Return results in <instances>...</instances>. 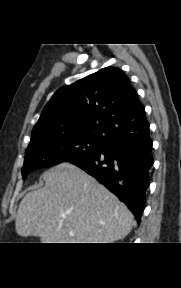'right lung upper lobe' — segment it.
Masks as SVG:
<instances>
[{"label":"right lung upper lobe","instance_id":"right-lung-upper-lobe-1","mask_svg":"<svg viewBox=\"0 0 181 288\" xmlns=\"http://www.w3.org/2000/svg\"><path fill=\"white\" fill-rule=\"evenodd\" d=\"M53 135H84L107 145L147 138L149 124L127 76L119 68L106 67L52 96L31 141Z\"/></svg>","mask_w":181,"mask_h":288}]
</instances>
